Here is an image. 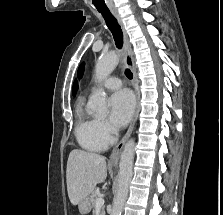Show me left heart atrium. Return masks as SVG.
<instances>
[{
    "label": "left heart atrium",
    "instance_id": "obj_1",
    "mask_svg": "<svg viewBox=\"0 0 223 215\" xmlns=\"http://www.w3.org/2000/svg\"><path fill=\"white\" fill-rule=\"evenodd\" d=\"M110 122L115 127L125 126L134 109V98L130 91L120 90L109 98Z\"/></svg>",
    "mask_w": 223,
    "mask_h": 215
}]
</instances>
